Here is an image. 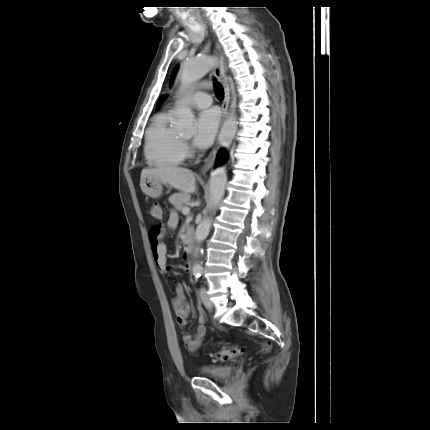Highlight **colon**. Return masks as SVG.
Returning a JSON list of instances; mask_svg holds the SVG:
<instances>
[{
	"instance_id": "obj_1",
	"label": "colon",
	"mask_w": 430,
	"mask_h": 430,
	"mask_svg": "<svg viewBox=\"0 0 430 430\" xmlns=\"http://www.w3.org/2000/svg\"><path fill=\"white\" fill-rule=\"evenodd\" d=\"M150 214L156 220L162 219V209L158 204H153L150 208ZM270 349V342H265L262 346V350L267 352ZM242 349L234 346H227L222 348L221 350L211 354V357L214 361H229L233 358L241 355Z\"/></svg>"
}]
</instances>
